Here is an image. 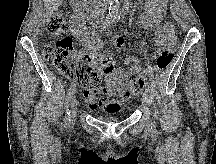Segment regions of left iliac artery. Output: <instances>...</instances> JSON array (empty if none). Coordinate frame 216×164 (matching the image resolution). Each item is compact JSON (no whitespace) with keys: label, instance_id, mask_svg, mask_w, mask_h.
<instances>
[{"label":"left iliac artery","instance_id":"left-iliac-artery-1","mask_svg":"<svg viewBox=\"0 0 216 164\" xmlns=\"http://www.w3.org/2000/svg\"><path fill=\"white\" fill-rule=\"evenodd\" d=\"M120 19V17L119 18H117L116 19V21H118ZM146 90H148V91H150L151 90V87L149 86V84L147 83L146 84ZM154 127V126H153ZM155 128V127H154ZM155 130V129H154Z\"/></svg>","mask_w":216,"mask_h":164}]
</instances>
